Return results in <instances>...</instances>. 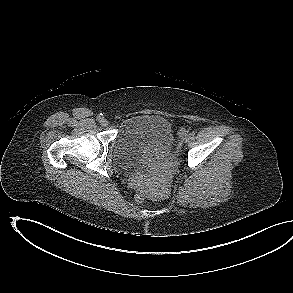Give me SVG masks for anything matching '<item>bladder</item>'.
<instances>
[{"label": "bladder", "instance_id": "bladder-1", "mask_svg": "<svg viewBox=\"0 0 293 293\" xmlns=\"http://www.w3.org/2000/svg\"><path fill=\"white\" fill-rule=\"evenodd\" d=\"M174 147L173 127L166 118L140 114L120 124L113 154L123 167H155L173 153Z\"/></svg>", "mask_w": 293, "mask_h": 293}]
</instances>
